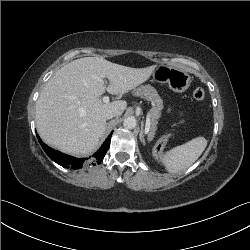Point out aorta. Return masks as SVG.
<instances>
[{
	"label": "aorta",
	"mask_w": 250,
	"mask_h": 250,
	"mask_svg": "<svg viewBox=\"0 0 250 250\" xmlns=\"http://www.w3.org/2000/svg\"><path fill=\"white\" fill-rule=\"evenodd\" d=\"M123 126L127 129H133L136 126V119L134 117H128L124 119Z\"/></svg>",
	"instance_id": "762f6f07"
}]
</instances>
